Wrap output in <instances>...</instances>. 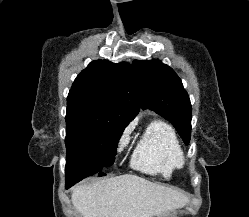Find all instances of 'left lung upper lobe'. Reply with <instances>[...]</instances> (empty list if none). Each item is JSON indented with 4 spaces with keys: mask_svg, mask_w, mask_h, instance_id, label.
Returning <instances> with one entry per match:
<instances>
[{
    "mask_svg": "<svg viewBox=\"0 0 249 217\" xmlns=\"http://www.w3.org/2000/svg\"><path fill=\"white\" fill-rule=\"evenodd\" d=\"M143 107L165 117L176 128L185 144L191 135V103L181 79L159 60L133 62Z\"/></svg>",
    "mask_w": 249,
    "mask_h": 217,
    "instance_id": "left-lung-upper-lobe-1",
    "label": "left lung upper lobe"
}]
</instances>
